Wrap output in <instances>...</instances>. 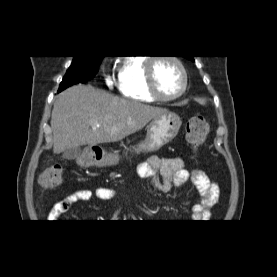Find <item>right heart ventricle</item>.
Listing matches in <instances>:
<instances>
[{
    "label": "right heart ventricle",
    "mask_w": 277,
    "mask_h": 277,
    "mask_svg": "<svg viewBox=\"0 0 277 277\" xmlns=\"http://www.w3.org/2000/svg\"><path fill=\"white\" fill-rule=\"evenodd\" d=\"M145 56L124 58L118 71V86L122 96L140 102H155L146 84Z\"/></svg>",
    "instance_id": "1"
}]
</instances>
